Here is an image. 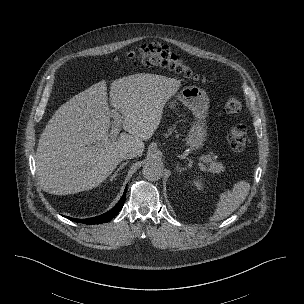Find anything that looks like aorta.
I'll return each instance as SVG.
<instances>
[{
    "label": "aorta",
    "mask_w": 304,
    "mask_h": 304,
    "mask_svg": "<svg viewBox=\"0 0 304 304\" xmlns=\"http://www.w3.org/2000/svg\"><path fill=\"white\" fill-rule=\"evenodd\" d=\"M142 173L147 180L156 181L162 177L163 166L156 160H150L143 166Z\"/></svg>",
    "instance_id": "aorta-1"
}]
</instances>
